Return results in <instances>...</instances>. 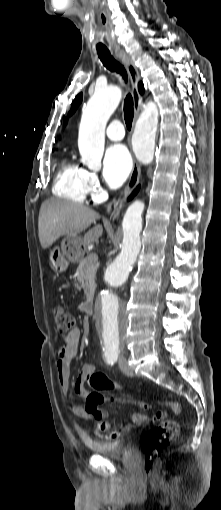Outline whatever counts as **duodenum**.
I'll use <instances>...</instances> for the list:
<instances>
[{"label": "duodenum", "instance_id": "410a0bca", "mask_svg": "<svg viewBox=\"0 0 221 510\" xmlns=\"http://www.w3.org/2000/svg\"><path fill=\"white\" fill-rule=\"evenodd\" d=\"M94 305H95V297L93 296L84 303L83 308H84L85 313L90 315L94 310Z\"/></svg>", "mask_w": 221, "mask_h": 510}]
</instances>
